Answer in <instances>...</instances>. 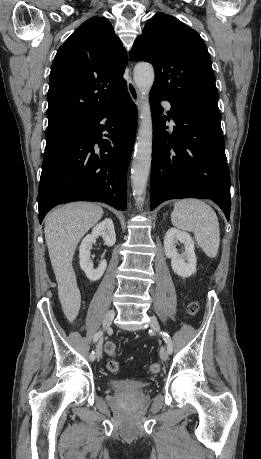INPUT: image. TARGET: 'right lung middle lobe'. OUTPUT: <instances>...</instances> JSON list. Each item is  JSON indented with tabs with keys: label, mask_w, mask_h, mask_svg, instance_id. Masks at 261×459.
<instances>
[{
	"label": "right lung middle lobe",
	"mask_w": 261,
	"mask_h": 459,
	"mask_svg": "<svg viewBox=\"0 0 261 459\" xmlns=\"http://www.w3.org/2000/svg\"><path fill=\"white\" fill-rule=\"evenodd\" d=\"M84 123L85 122L66 121L48 126L46 132L45 151H49L61 144L63 141L77 132L80 128H82Z\"/></svg>",
	"instance_id": "right-lung-middle-lobe-1"
}]
</instances>
